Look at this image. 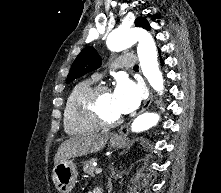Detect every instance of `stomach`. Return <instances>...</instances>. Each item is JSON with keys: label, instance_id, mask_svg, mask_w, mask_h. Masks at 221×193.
Returning <instances> with one entry per match:
<instances>
[{"label": "stomach", "instance_id": "0dacf381", "mask_svg": "<svg viewBox=\"0 0 221 193\" xmlns=\"http://www.w3.org/2000/svg\"><path fill=\"white\" fill-rule=\"evenodd\" d=\"M110 145L122 148L125 146V140L122 137L111 138ZM77 175L75 163L72 160H67L54 166L52 180L60 193H69L75 185Z\"/></svg>", "mask_w": 221, "mask_h": 193}]
</instances>
